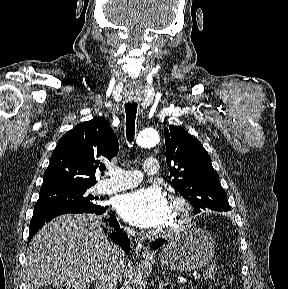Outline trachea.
Segmentation results:
<instances>
[{"mask_svg":"<svg viewBox=\"0 0 288 289\" xmlns=\"http://www.w3.org/2000/svg\"><path fill=\"white\" fill-rule=\"evenodd\" d=\"M126 112V137L129 143L134 139L135 135V119L137 113L136 103H127L125 107Z\"/></svg>","mask_w":288,"mask_h":289,"instance_id":"3493384b","label":"trachea"}]
</instances>
